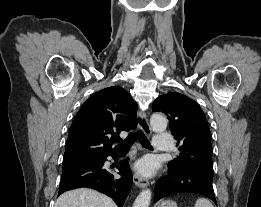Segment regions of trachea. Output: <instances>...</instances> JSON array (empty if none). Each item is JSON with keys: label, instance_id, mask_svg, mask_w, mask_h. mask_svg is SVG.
<instances>
[{"label": "trachea", "instance_id": "1", "mask_svg": "<svg viewBox=\"0 0 261 207\" xmlns=\"http://www.w3.org/2000/svg\"><path fill=\"white\" fill-rule=\"evenodd\" d=\"M136 139H138L141 145H143L145 148L152 149L149 140L140 130L137 133H130L127 138L119 144L120 152H128Z\"/></svg>", "mask_w": 261, "mask_h": 207}]
</instances>
